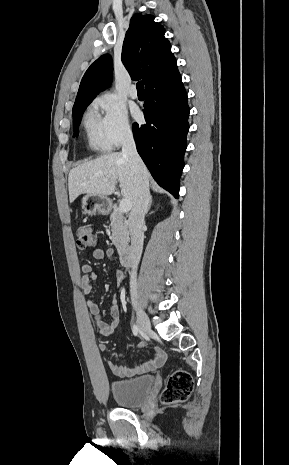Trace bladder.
Instances as JSON below:
<instances>
[{"label": "bladder", "mask_w": 289, "mask_h": 465, "mask_svg": "<svg viewBox=\"0 0 289 465\" xmlns=\"http://www.w3.org/2000/svg\"><path fill=\"white\" fill-rule=\"evenodd\" d=\"M153 384V376L145 375L132 379L113 381L110 388L112 396L119 406L133 408L147 402Z\"/></svg>", "instance_id": "31cf9c89"}]
</instances>
